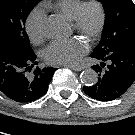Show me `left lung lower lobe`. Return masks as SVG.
I'll use <instances>...</instances> for the list:
<instances>
[{
  "instance_id": "0a47b994",
  "label": "left lung lower lobe",
  "mask_w": 135,
  "mask_h": 135,
  "mask_svg": "<svg viewBox=\"0 0 135 135\" xmlns=\"http://www.w3.org/2000/svg\"><path fill=\"white\" fill-rule=\"evenodd\" d=\"M100 61L93 66L98 80L84 86V92L99 101H112L122 96L135 81V44L121 45L106 54L92 53Z\"/></svg>"
}]
</instances>
